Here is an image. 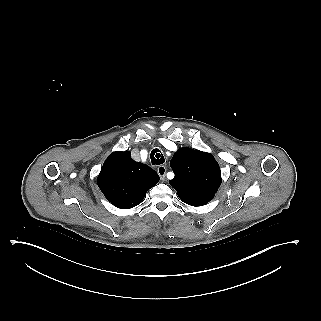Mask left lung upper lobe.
Returning a JSON list of instances; mask_svg holds the SVG:
<instances>
[{"instance_id":"left-lung-upper-lobe-1","label":"left lung upper lobe","mask_w":321,"mask_h":321,"mask_svg":"<svg viewBox=\"0 0 321 321\" xmlns=\"http://www.w3.org/2000/svg\"><path fill=\"white\" fill-rule=\"evenodd\" d=\"M170 166L175 174L170 185L185 203L213 198L221 185L220 167L209 153L183 147L174 154Z\"/></svg>"}]
</instances>
